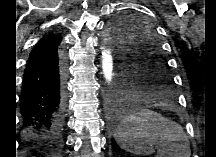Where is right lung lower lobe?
<instances>
[{
    "instance_id": "obj_1",
    "label": "right lung lower lobe",
    "mask_w": 216,
    "mask_h": 157,
    "mask_svg": "<svg viewBox=\"0 0 216 157\" xmlns=\"http://www.w3.org/2000/svg\"><path fill=\"white\" fill-rule=\"evenodd\" d=\"M63 74L57 50L25 68L20 113L27 157H57L64 114Z\"/></svg>"
}]
</instances>
